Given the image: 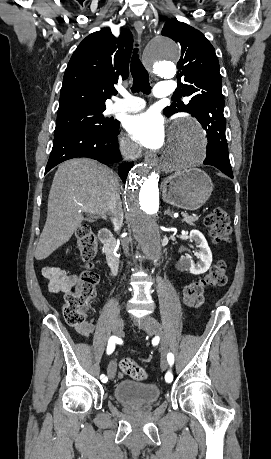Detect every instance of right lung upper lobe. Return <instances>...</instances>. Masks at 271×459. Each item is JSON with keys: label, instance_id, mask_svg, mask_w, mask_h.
<instances>
[{"label": "right lung upper lobe", "instance_id": "right-lung-upper-lobe-1", "mask_svg": "<svg viewBox=\"0 0 271 459\" xmlns=\"http://www.w3.org/2000/svg\"><path fill=\"white\" fill-rule=\"evenodd\" d=\"M132 41L128 30L119 38L109 28L87 36L65 70L58 112L83 106L105 107V101L117 93L114 84L129 75Z\"/></svg>", "mask_w": 271, "mask_h": 459}]
</instances>
